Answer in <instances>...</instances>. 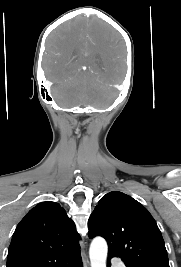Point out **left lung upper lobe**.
I'll return each mask as SVG.
<instances>
[{"instance_id":"obj_1","label":"left lung upper lobe","mask_w":181,"mask_h":267,"mask_svg":"<svg viewBox=\"0 0 181 267\" xmlns=\"http://www.w3.org/2000/svg\"><path fill=\"white\" fill-rule=\"evenodd\" d=\"M88 236H102L109 253L126 267H169L156 221L138 201L122 192L103 196L88 220Z\"/></svg>"}]
</instances>
